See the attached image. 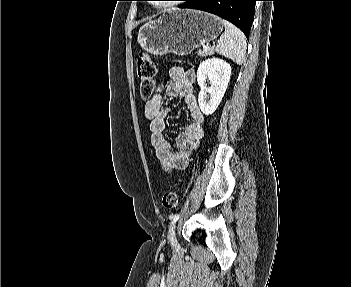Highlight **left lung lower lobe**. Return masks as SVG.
<instances>
[{"label":"left lung lower lobe","instance_id":"0a47b994","mask_svg":"<svg viewBox=\"0 0 351 287\" xmlns=\"http://www.w3.org/2000/svg\"><path fill=\"white\" fill-rule=\"evenodd\" d=\"M179 8L206 11L228 20L239 27L247 39L254 19L257 0H183Z\"/></svg>","mask_w":351,"mask_h":287}]
</instances>
